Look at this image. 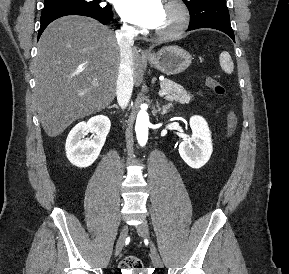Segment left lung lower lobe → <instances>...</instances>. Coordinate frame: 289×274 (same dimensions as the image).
I'll return each mask as SVG.
<instances>
[{
    "label": "left lung lower lobe",
    "instance_id": "1",
    "mask_svg": "<svg viewBox=\"0 0 289 274\" xmlns=\"http://www.w3.org/2000/svg\"><path fill=\"white\" fill-rule=\"evenodd\" d=\"M199 28H213V29L220 30L226 33L227 35H229L233 39V41H235L232 27L228 23H203V24L196 25V26H189L188 31L199 29Z\"/></svg>",
    "mask_w": 289,
    "mask_h": 274
}]
</instances>
